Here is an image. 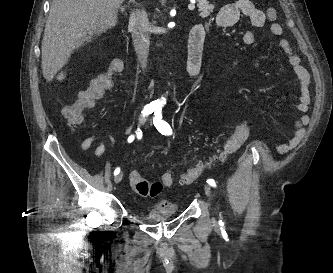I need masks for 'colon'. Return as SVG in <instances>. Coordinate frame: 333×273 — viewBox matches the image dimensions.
Returning <instances> with one entry per match:
<instances>
[{
  "mask_svg": "<svg viewBox=\"0 0 333 273\" xmlns=\"http://www.w3.org/2000/svg\"><path fill=\"white\" fill-rule=\"evenodd\" d=\"M266 16L269 21H274L277 17V11L274 8L266 10ZM123 68L121 60H114L108 71L96 79L78 95L77 100L71 105L65 107L64 117L71 128H75L83 119V111L94 106L95 102L101 99L104 93L113 85L114 75L119 73ZM251 123L244 122L236 127L234 132L226 140L223 150L216 157V161L224 162L234 155L244 144L250 134ZM205 167L204 163L198 164L191 168L180 177L182 184H190L201 173ZM129 183L132 189L140 196L154 197L157 196L164 186H171L174 182L173 175L169 172L163 174L161 182L151 183L141 176L138 170L134 169L129 172Z\"/></svg>",
  "mask_w": 333,
  "mask_h": 273,
  "instance_id": "colon-1",
  "label": "colon"
}]
</instances>
